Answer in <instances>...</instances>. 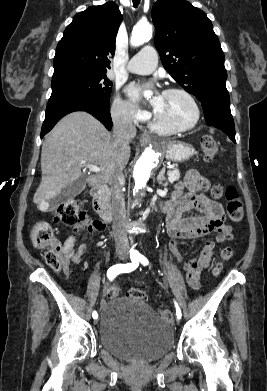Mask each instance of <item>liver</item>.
I'll return each mask as SVG.
<instances>
[{"instance_id": "liver-1", "label": "liver", "mask_w": 267, "mask_h": 391, "mask_svg": "<svg viewBox=\"0 0 267 391\" xmlns=\"http://www.w3.org/2000/svg\"><path fill=\"white\" fill-rule=\"evenodd\" d=\"M113 144V136L89 113L76 111L63 117L44 140L42 178L34 203L47 204L79 179L82 162L101 168V172L85 179L89 186L108 180L115 166L122 171L128 163L130 148L121 152Z\"/></svg>"}]
</instances>
